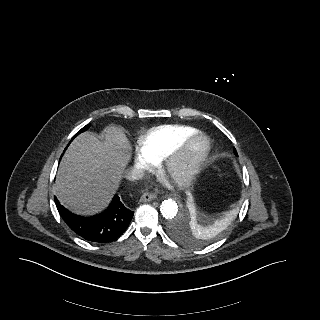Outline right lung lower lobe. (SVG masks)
Masks as SVG:
<instances>
[{
    "mask_svg": "<svg viewBox=\"0 0 320 320\" xmlns=\"http://www.w3.org/2000/svg\"><path fill=\"white\" fill-rule=\"evenodd\" d=\"M64 222L80 237L90 242L105 243L117 239L128 227L134 212L114 196L109 207L99 215L81 217L65 209L54 197Z\"/></svg>",
    "mask_w": 320,
    "mask_h": 320,
    "instance_id": "1",
    "label": "right lung lower lobe"
}]
</instances>
